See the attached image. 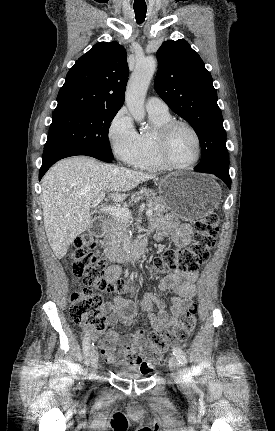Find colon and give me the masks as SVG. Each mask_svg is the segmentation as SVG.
Listing matches in <instances>:
<instances>
[{
  "label": "colon",
  "mask_w": 275,
  "mask_h": 431,
  "mask_svg": "<svg viewBox=\"0 0 275 431\" xmlns=\"http://www.w3.org/2000/svg\"><path fill=\"white\" fill-rule=\"evenodd\" d=\"M218 233V217L205 216L195 223L192 243L185 249H166L149 266L152 276L165 272H194L204 263L215 245ZM96 237L84 233L74 241L72 252L73 274L82 278L84 288L71 294L69 313L71 319L81 325L87 333L102 331L107 324V315L101 292L125 294L136 291L132 280L119 279L110 282L105 276L106 260L96 251ZM197 306L191 304L179 322L163 331L154 330L148 335L149 345L142 355L133 356V361L142 372H151L161 361L163 354L172 346L185 341L196 325Z\"/></svg>",
  "instance_id": "5ec220e1"
}]
</instances>
